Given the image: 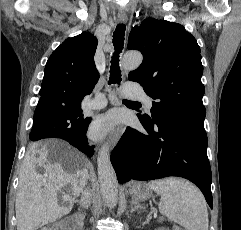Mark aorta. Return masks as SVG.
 I'll use <instances>...</instances> for the list:
<instances>
[{"label":"aorta","mask_w":241,"mask_h":230,"mask_svg":"<svg viewBox=\"0 0 241 230\" xmlns=\"http://www.w3.org/2000/svg\"><path fill=\"white\" fill-rule=\"evenodd\" d=\"M142 55L139 52H128L122 59L124 70H134L142 63ZM98 178L103 201L107 207H112L118 197V181L116 173L110 161L109 148L102 146L97 157Z\"/></svg>","instance_id":"762f6f07"}]
</instances>
